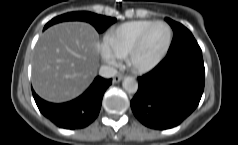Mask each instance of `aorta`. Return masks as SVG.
Returning <instances> with one entry per match:
<instances>
[{
	"label": "aorta",
	"instance_id": "762f6f07",
	"mask_svg": "<svg viewBox=\"0 0 238 145\" xmlns=\"http://www.w3.org/2000/svg\"><path fill=\"white\" fill-rule=\"evenodd\" d=\"M122 86L128 93H136L138 90V82L133 77L124 78Z\"/></svg>",
	"mask_w": 238,
	"mask_h": 145
}]
</instances>
